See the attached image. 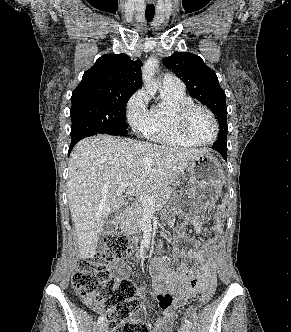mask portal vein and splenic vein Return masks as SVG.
Returning a JSON list of instances; mask_svg holds the SVG:
<instances>
[{"mask_svg":"<svg viewBox=\"0 0 291 332\" xmlns=\"http://www.w3.org/2000/svg\"><path fill=\"white\" fill-rule=\"evenodd\" d=\"M132 183L130 182H124L121 184L120 188L118 189L117 195L120 196L122 192L130 186ZM140 201H142L145 205L150 206L153 209H159L161 206L159 204H156L153 197L148 194H141L139 197Z\"/></svg>","mask_w":291,"mask_h":332,"instance_id":"1","label":"portal vein and splenic vein"}]
</instances>
